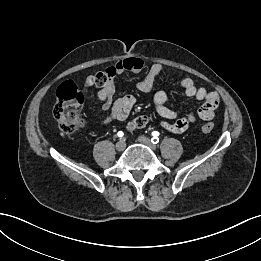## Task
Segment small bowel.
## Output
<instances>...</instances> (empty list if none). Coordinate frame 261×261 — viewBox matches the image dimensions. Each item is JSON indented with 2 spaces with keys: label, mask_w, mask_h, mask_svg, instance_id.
<instances>
[{
  "label": "small bowel",
  "mask_w": 261,
  "mask_h": 261,
  "mask_svg": "<svg viewBox=\"0 0 261 261\" xmlns=\"http://www.w3.org/2000/svg\"><path fill=\"white\" fill-rule=\"evenodd\" d=\"M144 67L145 63L142 59L129 57L105 69L103 73L106 76L107 81L104 86L100 87L97 94L98 99L103 103V109L109 111V115L102 121L104 124H108L114 120H125L136 103L135 97L131 94L114 98L115 77L125 72L139 73ZM164 72H166L164 65L160 63L152 64L145 77L137 82L136 88L144 93L150 92L157 76ZM92 77L93 76H89L86 78L85 86H93ZM179 84L187 97L203 101V104L197 113L198 117L205 121L213 119L219 103L218 95L215 92L207 91L203 87L196 86L194 80L190 77L181 78ZM153 101L156 112L161 118L160 124L167 131L177 134L183 133L196 119L195 115L192 113L179 118L177 112L166 105L168 102V95L164 91L156 92Z\"/></svg>",
  "instance_id": "obj_1"
}]
</instances>
